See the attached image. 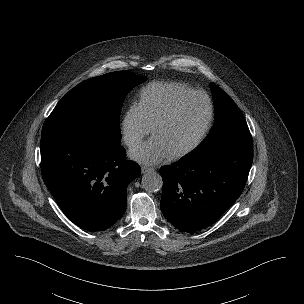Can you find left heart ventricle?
<instances>
[{"label": "left heart ventricle", "instance_id": "obj_1", "mask_svg": "<svg viewBox=\"0 0 304 304\" xmlns=\"http://www.w3.org/2000/svg\"><path fill=\"white\" fill-rule=\"evenodd\" d=\"M208 115L204 98L194 97L185 101L176 113L153 134L170 154L191 144L201 132Z\"/></svg>", "mask_w": 304, "mask_h": 304}]
</instances>
